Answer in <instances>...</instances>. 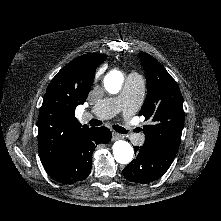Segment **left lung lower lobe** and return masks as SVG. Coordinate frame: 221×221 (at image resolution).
<instances>
[{"label": "left lung lower lobe", "instance_id": "left-lung-lower-lobe-1", "mask_svg": "<svg viewBox=\"0 0 221 221\" xmlns=\"http://www.w3.org/2000/svg\"><path fill=\"white\" fill-rule=\"evenodd\" d=\"M134 150L137 157L123 169V175L129 181L141 184L160 178L168 170L177 153L174 148H151L147 145L136 146Z\"/></svg>", "mask_w": 221, "mask_h": 221}]
</instances>
